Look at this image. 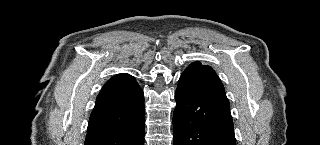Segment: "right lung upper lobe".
I'll return each instance as SVG.
<instances>
[{
  "label": "right lung upper lobe",
  "instance_id": "obj_1",
  "mask_svg": "<svg viewBox=\"0 0 320 145\" xmlns=\"http://www.w3.org/2000/svg\"><path fill=\"white\" fill-rule=\"evenodd\" d=\"M128 75H129V74H125V73L117 74V75L113 76L109 81H111V80H113V79H115V78L121 77V76H128ZM109 81H108V82H109ZM99 95H100V93H99ZM99 95H98L97 99L99 98Z\"/></svg>",
  "mask_w": 320,
  "mask_h": 145
}]
</instances>
